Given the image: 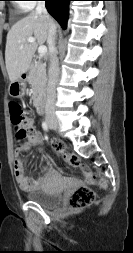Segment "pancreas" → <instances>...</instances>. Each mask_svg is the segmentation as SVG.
Masks as SVG:
<instances>
[{
	"label": "pancreas",
	"mask_w": 133,
	"mask_h": 253,
	"mask_svg": "<svg viewBox=\"0 0 133 253\" xmlns=\"http://www.w3.org/2000/svg\"><path fill=\"white\" fill-rule=\"evenodd\" d=\"M46 81V64L36 61L31 65L28 75V83L32 87V99L34 102H37L44 93Z\"/></svg>",
	"instance_id": "pancreas-1"
}]
</instances>
